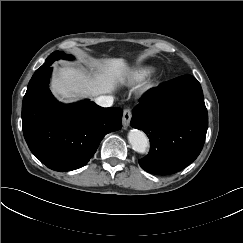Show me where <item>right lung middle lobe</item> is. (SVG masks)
<instances>
[{
    "label": "right lung middle lobe",
    "instance_id": "dd1d6c3e",
    "mask_svg": "<svg viewBox=\"0 0 243 243\" xmlns=\"http://www.w3.org/2000/svg\"><path fill=\"white\" fill-rule=\"evenodd\" d=\"M73 59L72 56H69L67 54H64L63 52L61 51H55L53 52L47 59H46V62H51L53 63L55 60H58V59Z\"/></svg>",
    "mask_w": 243,
    "mask_h": 243
}]
</instances>
